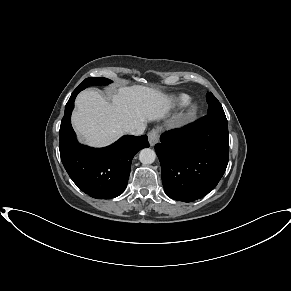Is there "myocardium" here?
I'll use <instances>...</instances> for the list:
<instances>
[{
  "label": "myocardium",
  "mask_w": 291,
  "mask_h": 291,
  "mask_svg": "<svg viewBox=\"0 0 291 291\" xmlns=\"http://www.w3.org/2000/svg\"><path fill=\"white\" fill-rule=\"evenodd\" d=\"M199 106L197 103H192L187 114L188 118H193L198 112Z\"/></svg>",
  "instance_id": "1"
}]
</instances>
